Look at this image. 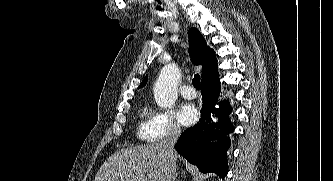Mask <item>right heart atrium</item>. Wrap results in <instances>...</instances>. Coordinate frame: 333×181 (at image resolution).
Masks as SVG:
<instances>
[{
  "instance_id": "1",
  "label": "right heart atrium",
  "mask_w": 333,
  "mask_h": 181,
  "mask_svg": "<svg viewBox=\"0 0 333 181\" xmlns=\"http://www.w3.org/2000/svg\"><path fill=\"white\" fill-rule=\"evenodd\" d=\"M150 130L153 140H160L165 137L178 136L181 127L170 110L156 111L150 122Z\"/></svg>"
}]
</instances>
